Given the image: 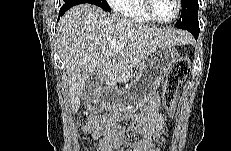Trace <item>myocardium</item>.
I'll list each match as a JSON object with an SVG mask.
<instances>
[{
  "label": "myocardium",
  "mask_w": 231,
  "mask_h": 151,
  "mask_svg": "<svg viewBox=\"0 0 231 151\" xmlns=\"http://www.w3.org/2000/svg\"><path fill=\"white\" fill-rule=\"evenodd\" d=\"M175 5H176V13L175 15L168 19L164 20L158 17L154 11V0H145V11L148 14V16L153 19L155 22L160 23V24H169L174 22L181 13V1L180 0H175Z\"/></svg>",
  "instance_id": "myocardium-1"
}]
</instances>
